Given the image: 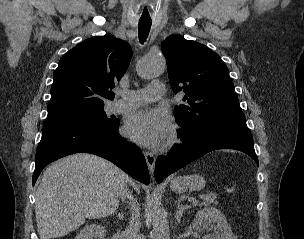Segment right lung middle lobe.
I'll return each instance as SVG.
<instances>
[{
  "label": "right lung middle lobe",
  "mask_w": 304,
  "mask_h": 239,
  "mask_svg": "<svg viewBox=\"0 0 304 239\" xmlns=\"http://www.w3.org/2000/svg\"><path fill=\"white\" fill-rule=\"evenodd\" d=\"M118 120L107 118L103 107L87 109L75 113L55 117H47L43 129L61 126L86 125V126H111Z\"/></svg>",
  "instance_id": "right-lung-middle-lobe-1"
}]
</instances>
